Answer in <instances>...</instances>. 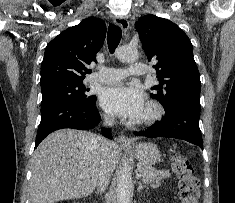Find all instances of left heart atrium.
I'll list each match as a JSON object with an SVG mask.
<instances>
[{"label": "left heart atrium", "instance_id": "1", "mask_svg": "<svg viewBox=\"0 0 235 203\" xmlns=\"http://www.w3.org/2000/svg\"><path fill=\"white\" fill-rule=\"evenodd\" d=\"M100 103L109 114L129 120L140 119L145 110L144 96L134 86L108 87L102 91Z\"/></svg>", "mask_w": 235, "mask_h": 203}]
</instances>
